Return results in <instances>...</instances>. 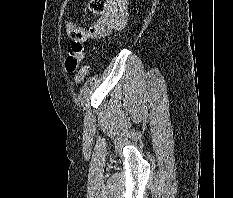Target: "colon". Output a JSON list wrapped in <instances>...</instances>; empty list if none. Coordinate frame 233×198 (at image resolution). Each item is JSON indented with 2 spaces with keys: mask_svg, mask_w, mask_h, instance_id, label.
<instances>
[{
  "mask_svg": "<svg viewBox=\"0 0 233 198\" xmlns=\"http://www.w3.org/2000/svg\"><path fill=\"white\" fill-rule=\"evenodd\" d=\"M107 0H89L88 7L94 15H100L106 8ZM93 22L92 24H94ZM91 24V25H92ZM67 32L71 39L73 40L74 49H79L82 47V43L89 38L90 27L81 28L79 26L73 25L71 23L67 24ZM79 65L78 58L72 53L70 54L65 61L66 70L69 73H74ZM90 71V66L88 64L83 65L76 73L75 80L80 83L88 75Z\"/></svg>",
  "mask_w": 233,
  "mask_h": 198,
  "instance_id": "5ec220e1",
  "label": "colon"
}]
</instances>
